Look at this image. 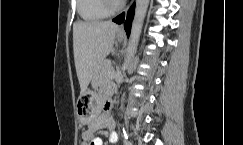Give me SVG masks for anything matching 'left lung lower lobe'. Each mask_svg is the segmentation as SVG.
<instances>
[{
  "mask_svg": "<svg viewBox=\"0 0 243 145\" xmlns=\"http://www.w3.org/2000/svg\"><path fill=\"white\" fill-rule=\"evenodd\" d=\"M134 11H135V5H132V7L129 9V11L127 13L126 20H125V13H122L113 19V21L116 22L117 24H121L125 20L124 28L127 33V36H129V34H130Z\"/></svg>",
  "mask_w": 243,
  "mask_h": 145,
  "instance_id": "left-lung-lower-lobe-1",
  "label": "left lung lower lobe"
}]
</instances>
